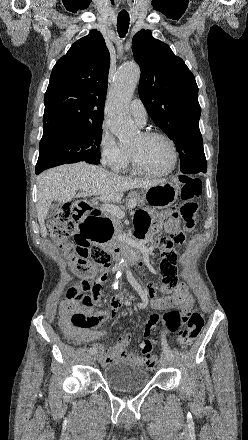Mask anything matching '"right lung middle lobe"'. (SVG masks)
<instances>
[{"instance_id": "obj_1", "label": "right lung middle lobe", "mask_w": 248, "mask_h": 440, "mask_svg": "<svg viewBox=\"0 0 248 440\" xmlns=\"http://www.w3.org/2000/svg\"><path fill=\"white\" fill-rule=\"evenodd\" d=\"M101 137L102 124L42 137L36 173L65 163L85 161L98 164Z\"/></svg>"}]
</instances>
